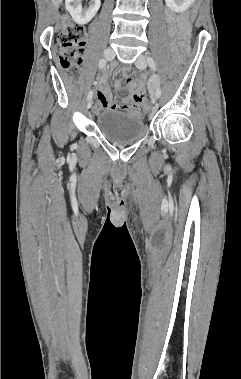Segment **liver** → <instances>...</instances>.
Returning a JSON list of instances; mask_svg holds the SVG:
<instances>
[{
	"instance_id": "6515ba94",
	"label": "liver",
	"mask_w": 241,
	"mask_h": 379,
	"mask_svg": "<svg viewBox=\"0 0 241 379\" xmlns=\"http://www.w3.org/2000/svg\"><path fill=\"white\" fill-rule=\"evenodd\" d=\"M62 0H52V3L55 7H58Z\"/></svg>"
}]
</instances>
